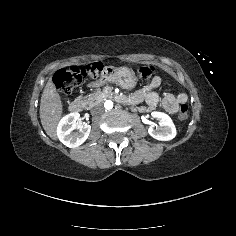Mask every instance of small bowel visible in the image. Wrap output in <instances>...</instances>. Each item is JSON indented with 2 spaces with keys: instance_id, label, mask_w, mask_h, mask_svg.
I'll return each mask as SVG.
<instances>
[{
  "instance_id": "1",
  "label": "small bowel",
  "mask_w": 236,
  "mask_h": 236,
  "mask_svg": "<svg viewBox=\"0 0 236 236\" xmlns=\"http://www.w3.org/2000/svg\"><path fill=\"white\" fill-rule=\"evenodd\" d=\"M160 84L161 79L159 77H154L147 86L134 93L131 97L136 103L145 101L150 107H155L160 101V97L155 89L159 87ZM186 101L187 96L184 93H179L177 95L167 94L163 98V106L169 113H176L179 109V105Z\"/></svg>"
}]
</instances>
